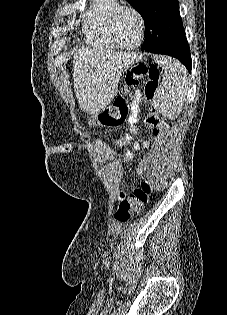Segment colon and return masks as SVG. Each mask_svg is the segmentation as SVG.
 <instances>
[{"mask_svg":"<svg viewBox=\"0 0 227 315\" xmlns=\"http://www.w3.org/2000/svg\"><path fill=\"white\" fill-rule=\"evenodd\" d=\"M147 78L144 86L145 104H144V123L151 128L156 136H163L168 131V124L156 112L153 106V100L158 90L160 80V70L155 64L138 63L130 67L126 77V93L131 94V89L138 85L139 81ZM130 112V106L124 96H120L106 110L97 114L90 120L95 126H118L123 124ZM153 186L150 182L144 183L141 187L135 189L130 195L120 194V203L117 217L120 220H127L131 213L138 212L147 203Z\"/></svg>","mask_w":227,"mask_h":315,"instance_id":"colon-1","label":"colon"}]
</instances>
